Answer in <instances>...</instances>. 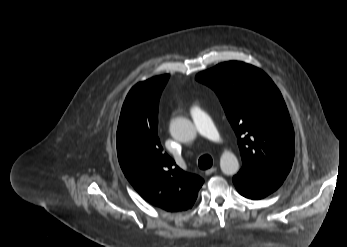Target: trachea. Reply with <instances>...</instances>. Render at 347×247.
Segmentation results:
<instances>
[{
  "label": "trachea",
  "instance_id": "1",
  "mask_svg": "<svg viewBox=\"0 0 347 247\" xmlns=\"http://www.w3.org/2000/svg\"><path fill=\"white\" fill-rule=\"evenodd\" d=\"M213 164V160L209 155H203L198 160V165L201 169H209Z\"/></svg>",
  "mask_w": 347,
  "mask_h": 247
}]
</instances>
